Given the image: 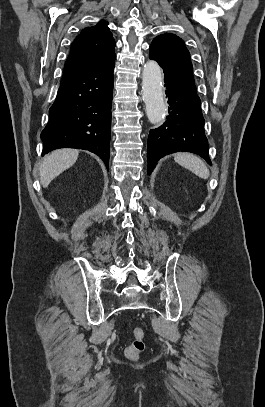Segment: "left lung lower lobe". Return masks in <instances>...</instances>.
I'll return each mask as SVG.
<instances>
[{
	"label": "left lung lower lobe",
	"mask_w": 265,
	"mask_h": 407,
	"mask_svg": "<svg viewBox=\"0 0 265 407\" xmlns=\"http://www.w3.org/2000/svg\"><path fill=\"white\" fill-rule=\"evenodd\" d=\"M164 82L170 105L169 115L162 126L149 133L148 174L159 159L178 151L196 153L211 163L204 133L201 101L196 88L170 74H165Z\"/></svg>",
	"instance_id": "obj_1"
}]
</instances>
